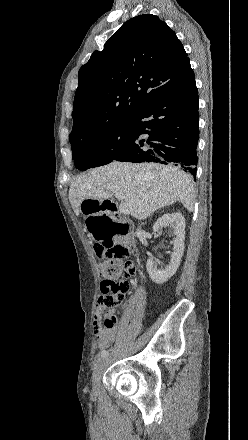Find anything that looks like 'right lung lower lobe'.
I'll return each mask as SVG.
<instances>
[{"label":"right lung lower lobe","instance_id":"obj_1","mask_svg":"<svg viewBox=\"0 0 248 440\" xmlns=\"http://www.w3.org/2000/svg\"><path fill=\"white\" fill-rule=\"evenodd\" d=\"M198 106L195 81L142 106L130 119L133 125L130 143L117 161L173 164L195 177Z\"/></svg>","mask_w":248,"mask_h":440}]
</instances>
